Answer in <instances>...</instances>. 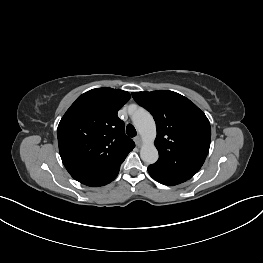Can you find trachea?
<instances>
[{"instance_id": "1", "label": "trachea", "mask_w": 263, "mask_h": 263, "mask_svg": "<svg viewBox=\"0 0 263 263\" xmlns=\"http://www.w3.org/2000/svg\"><path fill=\"white\" fill-rule=\"evenodd\" d=\"M126 133L130 136V137H135L137 135L136 129L134 128L133 125L128 124L126 127Z\"/></svg>"}]
</instances>
